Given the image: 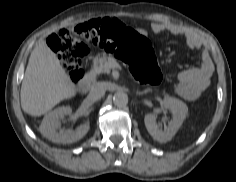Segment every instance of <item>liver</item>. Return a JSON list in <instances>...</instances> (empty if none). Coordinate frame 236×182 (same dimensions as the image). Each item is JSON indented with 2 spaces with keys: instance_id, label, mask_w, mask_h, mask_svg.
<instances>
[{
  "instance_id": "obj_1",
  "label": "liver",
  "mask_w": 236,
  "mask_h": 182,
  "mask_svg": "<svg viewBox=\"0 0 236 182\" xmlns=\"http://www.w3.org/2000/svg\"><path fill=\"white\" fill-rule=\"evenodd\" d=\"M76 87L56 54L39 39L32 51L21 86V107L31 116H42L63 100L76 95Z\"/></svg>"
}]
</instances>
